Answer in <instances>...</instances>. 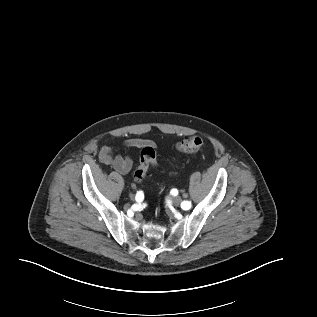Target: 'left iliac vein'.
Returning <instances> with one entry per match:
<instances>
[{
	"instance_id": "4c4485c4",
	"label": "left iliac vein",
	"mask_w": 317,
	"mask_h": 317,
	"mask_svg": "<svg viewBox=\"0 0 317 317\" xmlns=\"http://www.w3.org/2000/svg\"><path fill=\"white\" fill-rule=\"evenodd\" d=\"M171 201H172L173 205L179 206L181 201H182V199L179 196H174V197L171 198Z\"/></svg>"
}]
</instances>
